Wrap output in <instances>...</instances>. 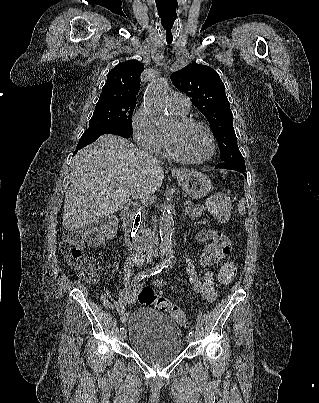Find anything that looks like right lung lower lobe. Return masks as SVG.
I'll use <instances>...</instances> for the list:
<instances>
[{
	"mask_svg": "<svg viewBox=\"0 0 319 403\" xmlns=\"http://www.w3.org/2000/svg\"><path fill=\"white\" fill-rule=\"evenodd\" d=\"M103 134H115L124 138H129L132 133H128L119 127H95L87 129L81 136L77 145L76 152L86 145L94 142L99 136Z\"/></svg>",
	"mask_w": 319,
	"mask_h": 403,
	"instance_id": "98d812e1",
	"label": "right lung lower lobe"
}]
</instances>
